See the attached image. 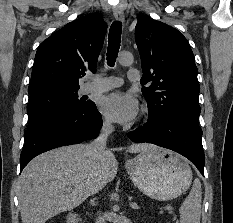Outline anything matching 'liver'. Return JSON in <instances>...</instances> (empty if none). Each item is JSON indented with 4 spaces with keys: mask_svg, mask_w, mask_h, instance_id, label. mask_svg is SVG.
I'll return each instance as SVG.
<instances>
[{
    "mask_svg": "<svg viewBox=\"0 0 233 223\" xmlns=\"http://www.w3.org/2000/svg\"><path fill=\"white\" fill-rule=\"evenodd\" d=\"M150 147L156 145L132 143L127 151L139 153ZM95 163L89 143L65 145L31 159L18 181L22 223H45L61 211L75 209L92 195L95 179L102 185L113 181L118 171L114 153L107 149L104 165L96 169Z\"/></svg>",
    "mask_w": 233,
    "mask_h": 223,
    "instance_id": "obj_1",
    "label": "liver"
}]
</instances>
